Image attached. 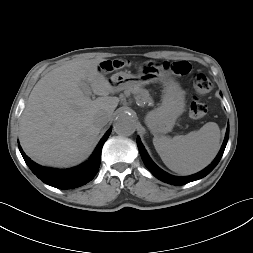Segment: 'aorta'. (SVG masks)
I'll return each instance as SVG.
<instances>
[{
  "label": "aorta",
  "instance_id": "1",
  "mask_svg": "<svg viewBox=\"0 0 253 253\" xmlns=\"http://www.w3.org/2000/svg\"><path fill=\"white\" fill-rule=\"evenodd\" d=\"M136 130V120L128 112H121L114 122V131L121 136H130Z\"/></svg>",
  "mask_w": 253,
  "mask_h": 253
}]
</instances>
